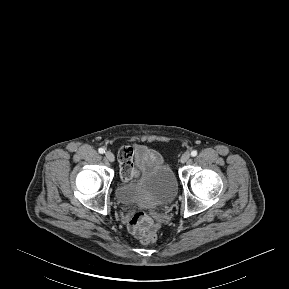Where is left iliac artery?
I'll return each mask as SVG.
<instances>
[{"mask_svg": "<svg viewBox=\"0 0 289 289\" xmlns=\"http://www.w3.org/2000/svg\"><path fill=\"white\" fill-rule=\"evenodd\" d=\"M196 155H197V151L196 150L191 151V156L192 157H195Z\"/></svg>", "mask_w": 289, "mask_h": 289, "instance_id": "44dca946", "label": "left iliac artery"}]
</instances>
